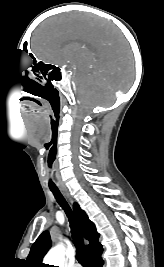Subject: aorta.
Wrapping results in <instances>:
<instances>
[{
	"label": "aorta",
	"mask_w": 164,
	"mask_h": 267,
	"mask_svg": "<svg viewBox=\"0 0 164 267\" xmlns=\"http://www.w3.org/2000/svg\"><path fill=\"white\" fill-rule=\"evenodd\" d=\"M65 249L62 245L52 248L44 258V262L49 265L64 267Z\"/></svg>",
	"instance_id": "aorta-1"
}]
</instances>
